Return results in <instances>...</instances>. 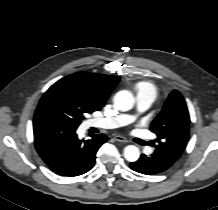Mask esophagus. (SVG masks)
I'll list each match as a JSON object with an SVG mask.
<instances>
[{
    "instance_id": "1",
    "label": "esophagus",
    "mask_w": 218,
    "mask_h": 210,
    "mask_svg": "<svg viewBox=\"0 0 218 210\" xmlns=\"http://www.w3.org/2000/svg\"><path fill=\"white\" fill-rule=\"evenodd\" d=\"M115 140L117 142H121V143H127L128 142V140L125 137L120 136V135L115 136Z\"/></svg>"
}]
</instances>
